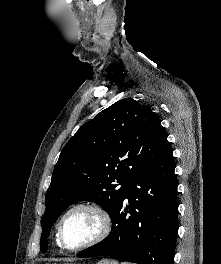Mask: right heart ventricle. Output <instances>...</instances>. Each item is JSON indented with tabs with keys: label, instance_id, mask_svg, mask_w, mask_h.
Here are the masks:
<instances>
[{
	"label": "right heart ventricle",
	"instance_id": "1",
	"mask_svg": "<svg viewBox=\"0 0 221 264\" xmlns=\"http://www.w3.org/2000/svg\"><path fill=\"white\" fill-rule=\"evenodd\" d=\"M56 243H57L58 246H60V244H59V242H58V240H57V235H56Z\"/></svg>",
	"mask_w": 221,
	"mask_h": 264
}]
</instances>
